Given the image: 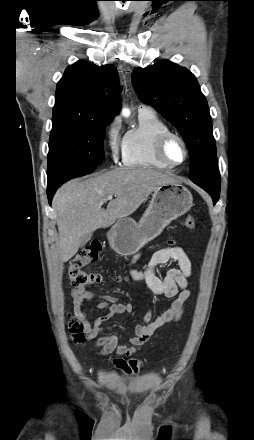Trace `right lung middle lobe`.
<instances>
[{"instance_id":"dd1d6c3e","label":"right lung middle lobe","mask_w":254,"mask_h":440,"mask_svg":"<svg viewBox=\"0 0 254 440\" xmlns=\"http://www.w3.org/2000/svg\"><path fill=\"white\" fill-rule=\"evenodd\" d=\"M110 121L74 115L53 117L48 153V186L89 174L101 164L104 159L105 126Z\"/></svg>"}]
</instances>
